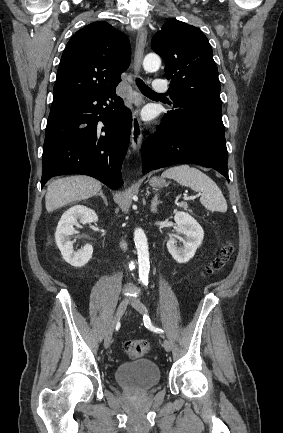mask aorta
I'll return each instance as SVG.
<instances>
[{
    "label": "aorta",
    "mask_w": 283,
    "mask_h": 433,
    "mask_svg": "<svg viewBox=\"0 0 283 433\" xmlns=\"http://www.w3.org/2000/svg\"><path fill=\"white\" fill-rule=\"evenodd\" d=\"M161 66L160 57L157 54L149 53L143 60V68L147 72H155ZM134 242L138 255L139 277L143 284L148 283L150 270L148 242L144 231L136 228L134 231Z\"/></svg>",
    "instance_id": "obj_1"
}]
</instances>
